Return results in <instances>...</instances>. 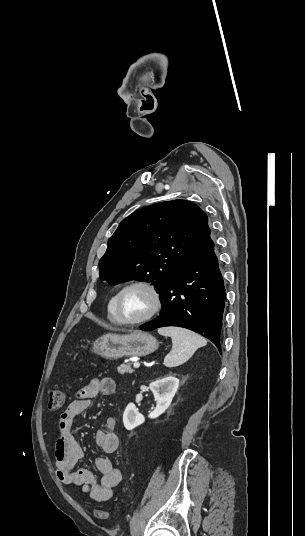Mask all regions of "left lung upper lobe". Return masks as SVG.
<instances>
[{"mask_svg":"<svg viewBox=\"0 0 305 536\" xmlns=\"http://www.w3.org/2000/svg\"><path fill=\"white\" fill-rule=\"evenodd\" d=\"M210 232L207 215L187 200L135 211L109 239L99 276L110 284L149 281L161 291L207 244Z\"/></svg>","mask_w":305,"mask_h":536,"instance_id":"1","label":"left lung upper lobe"}]
</instances>
